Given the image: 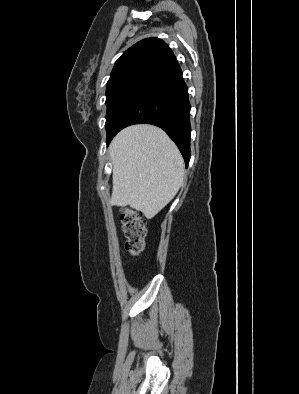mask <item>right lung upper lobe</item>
<instances>
[{"instance_id": "1", "label": "right lung upper lobe", "mask_w": 299, "mask_h": 394, "mask_svg": "<svg viewBox=\"0 0 299 394\" xmlns=\"http://www.w3.org/2000/svg\"><path fill=\"white\" fill-rule=\"evenodd\" d=\"M180 66L168 45L158 38L143 39L115 62L106 91L123 85L152 86Z\"/></svg>"}]
</instances>
